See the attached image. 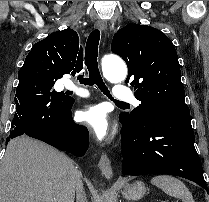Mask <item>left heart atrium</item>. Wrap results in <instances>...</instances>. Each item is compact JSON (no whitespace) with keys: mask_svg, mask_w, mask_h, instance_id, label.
Masks as SVG:
<instances>
[{"mask_svg":"<svg viewBox=\"0 0 209 202\" xmlns=\"http://www.w3.org/2000/svg\"><path fill=\"white\" fill-rule=\"evenodd\" d=\"M77 119L86 125L97 139L107 136L109 124L106 114L100 105L90 106L78 111Z\"/></svg>","mask_w":209,"mask_h":202,"instance_id":"obj_1","label":"left heart atrium"}]
</instances>
